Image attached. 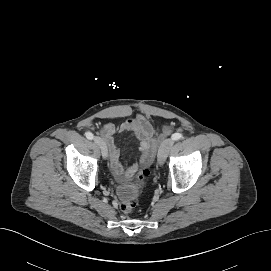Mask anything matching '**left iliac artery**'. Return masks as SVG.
I'll list each match as a JSON object with an SVG mask.
<instances>
[{
	"mask_svg": "<svg viewBox=\"0 0 271 271\" xmlns=\"http://www.w3.org/2000/svg\"><path fill=\"white\" fill-rule=\"evenodd\" d=\"M182 137H183L182 134L175 133L172 135V140L177 141V140H180Z\"/></svg>",
	"mask_w": 271,
	"mask_h": 271,
	"instance_id": "1",
	"label": "left iliac artery"
}]
</instances>
